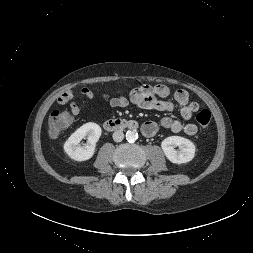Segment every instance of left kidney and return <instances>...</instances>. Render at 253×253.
<instances>
[{
	"instance_id": "obj_1",
	"label": "left kidney",
	"mask_w": 253,
	"mask_h": 253,
	"mask_svg": "<svg viewBox=\"0 0 253 253\" xmlns=\"http://www.w3.org/2000/svg\"><path fill=\"white\" fill-rule=\"evenodd\" d=\"M178 147L179 150H176ZM161 148L169 161L175 164L190 162L196 151L195 144L189 139L180 136H170L161 143Z\"/></svg>"
}]
</instances>
